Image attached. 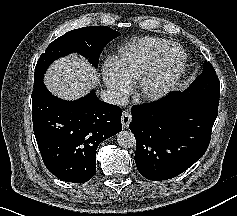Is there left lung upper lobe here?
Masks as SVG:
<instances>
[{"label":"left lung upper lobe","instance_id":"obj_1","mask_svg":"<svg viewBox=\"0 0 237 216\" xmlns=\"http://www.w3.org/2000/svg\"><path fill=\"white\" fill-rule=\"evenodd\" d=\"M203 66V72L192 82L184 93L219 102V79L209 62L205 61Z\"/></svg>","mask_w":237,"mask_h":216}]
</instances>
